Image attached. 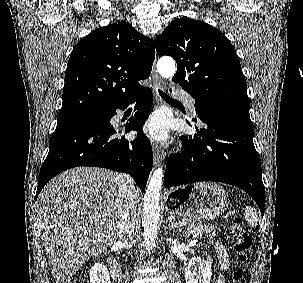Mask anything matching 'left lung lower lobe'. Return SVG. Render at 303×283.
Listing matches in <instances>:
<instances>
[{"mask_svg": "<svg viewBox=\"0 0 303 283\" xmlns=\"http://www.w3.org/2000/svg\"><path fill=\"white\" fill-rule=\"evenodd\" d=\"M195 110L204 126L195 125L194 136H181L185 150L169 156L164 187L199 181L231 184L246 191L263 215L265 189L249 109L195 102Z\"/></svg>", "mask_w": 303, "mask_h": 283, "instance_id": "left-lung-lower-lobe-1", "label": "left lung lower lobe"}]
</instances>
